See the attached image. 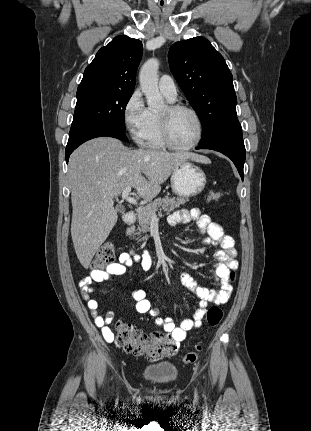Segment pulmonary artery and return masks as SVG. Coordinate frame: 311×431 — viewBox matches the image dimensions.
Returning <instances> with one entry per match:
<instances>
[{
    "label": "pulmonary artery",
    "mask_w": 311,
    "mask_h": 431,
    "mask_svg": "<svg viewBox=\"0 0 311 431\" xmlns=\"http://www.w3.org/2000/svg\"><path fill=\"white\" fill-rule=\"evenodd\" d=\"M160 91L170 99H175L177 88L174 80L169 75H162L158 81Z\"/></svg>",
    "instance_id": "1"
}]
</instances>
